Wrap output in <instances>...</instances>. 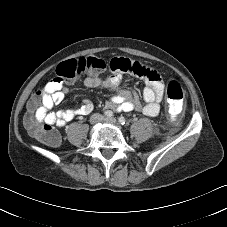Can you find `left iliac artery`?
Returning <instances> with one entry per match:
<instances>
[{
  "instance_id": "left-iliac-artery-1",
  "label": "left iliac artery",
  "mask_w": 227,
  "mask_h": 227,
  "mask_svg": "<svg viewBox=\"0 0 227 227\" xmlns=\"http://www.w3.org/2000/svg\"><path fill=\"white\" fill-rule=\"evenodd\" d=\"M118 121H119V123L121 124V125H124L125 123H126V119L124 118V117H119V119H118Z\"/></svg>"
}]
</instances>
